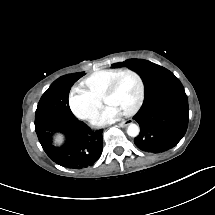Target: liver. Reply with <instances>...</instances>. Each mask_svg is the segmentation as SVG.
<instances>
[{
	"mask_svg": "<svg viewBox=\"0 0 215 215\" xmlns=\"http://www.w3.org/2000/svg\"><path fill=\"white\" fill-rule=\"evenodd\" d=\"M66 142V134L62 131H55L51 134V143L54 147L60 148Z\"/></svg>",
	"mask_w": 215,
	"mask_h": 215,
	"instance_id": "1",
	"label": "liver"
}]
</instances>
